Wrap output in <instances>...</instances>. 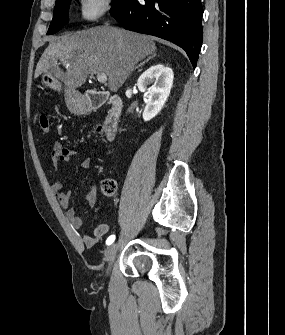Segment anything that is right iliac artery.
<instances>
[{
    "instance_id": "82829eb1",
    "label": "right iliac artery",
    "mask_w": 285,
    "mask_h": 335,
    "mask_svg": "<svg viewBox=\"0 0 285 335\" xmlns=\"http://www.w3.org/2000/svg\"><path fill=\"white\" fill-rule=\"evenodd\" d=\"M114 240H115V235H111V236H109V237L107 238V240H106V244H107V245H110V244H112V243L114 242Z\"/></svg>"
}]
</instances>
